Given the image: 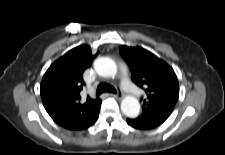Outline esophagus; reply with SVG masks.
Instances as JSON below:
<instances>
[{
	"label": "esophagus",
	"mask_w": 225,
	"mask_h": 155,
	"mask_svg": "<svg viewBox=\"0 0 225 155\" xmlns=\"http://www.w3.org/2000/svg\"><path fill=\"white\" fill-rule=\"evenodd\" d=\"M111 96L117 98V99H121L122 98V93L121 92H117V93H111Z\"/></svg>",
	"instance_id": "34e87169"
}]
</instances>
